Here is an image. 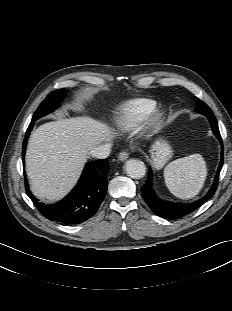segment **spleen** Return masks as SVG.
<instances>
[{
	"label": "spleen",
	"instance_id": "1",
	"mask_svg": "<svg viewBox=\"0 0 232 311\" xmlns=\"http://www.w3.org/2000/svg\"><path fill=\"white\" fill-rule=\"evenodd\" d=\"M207 176L206 162L200 154H192L170 162L164 169L169 191L181 199L195 197Z\"/></svg>",
	"mask_w": 232,
	"mask_h": 311
}]
</instances>
